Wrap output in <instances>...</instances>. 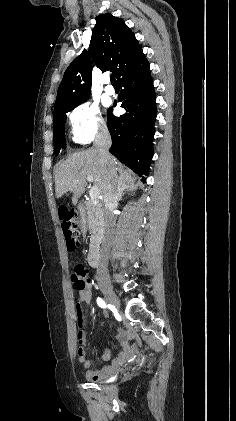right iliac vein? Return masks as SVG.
<instances>
[{
    "mask_svg": "<svg viewBox=\"0 0 236 421\" xmlns=\"http://www.w3.org/2000/svg\"><path fill=\"white\" fill-rule=\"evenodd\" d=\"M102 292L105 296V298L116 308L119 309V299L116 296L114 290L108 286L107 281L101 282L100 284Z\"/></svg>",
    "mask_w": 236,
    "mask_h": 421,
    "instance_id": "obj_1",
    "label": "right iliac vein"
}]
</instances>
